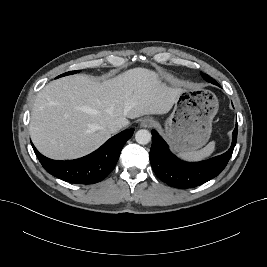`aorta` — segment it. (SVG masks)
<instances>
[{"mask_svg":"<svg viewBox=\"0 0 267 267\" xmlns=\"http://www.w3.org/2000/svg\"><path fill=\"white\" fill-rule=\"evenodd\" d=\"M135 140L141 145L148 144L151 141V133L146 129L138 130L135 134Z\"/></svg>","mask_w":267,"mask_h":267,"instance_id":"obj_1","label":"aorta"}]
</instances>
